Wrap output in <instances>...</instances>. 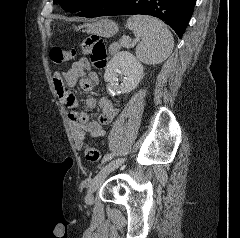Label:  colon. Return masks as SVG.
Returning a JSON list of instances; mask_svg holds the SVG:
<instances>
[{
	"label": "colon",
	"instance_id": "obj_1",
	"mask_svg": "<svg viewBox=\"0 0 240 238\" xmlns=\"http://www.w3.org/2000/svg\"><path fill=\"white\" fill-rule=\"evenodd\" d=\"M79 52L81 54L88 55L93 65L98 69H101L106 65L107 61L106 45L98 37H88L84 39L83 42L81 43ZM77 54L78 51L76 49L65 51L61 48L54 47L50 50L49 56L53 63L61 64L75 58ZM84 153L86 159L89 161L97 162L101 159L100 152L90 145H87L85 147Z\"/></svg>",
	"mask_w": 240,
	"mask_h": 238
}]
</instances>
